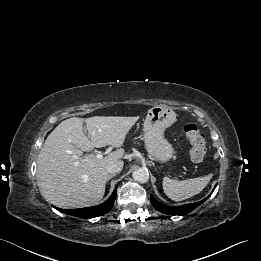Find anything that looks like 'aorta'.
I'll return each instance as SVG.
<instances>
[{
    "label": "aorta",
    "mask_w": 261,
    "mask_h": 261,
    "mask_svg": "<svg viewBox=\"0 0 261 261\" xmlns=\"http://www.w3.org/2000/svg\"><path fill=\"white\" fill-rule=\"evenodd\" d=\"M133 178L137 182L146 183L149 180V173L144 168H139L133 172Z\"/></svg>",
    "instance_id": "1"
}]
</instances>
